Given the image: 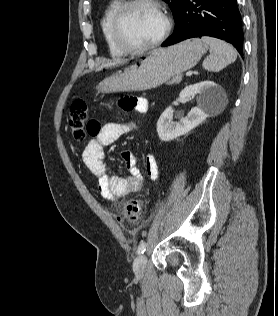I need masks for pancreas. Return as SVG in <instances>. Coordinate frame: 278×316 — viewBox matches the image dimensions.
<instances>
[{"label": "pancreas", "mask_w": 278, "mask_h": 316, "mask_svg": "<svg viewBox=\"0 0 278 316\" xmlns=\"http://www.w3.org/2000/svg\"><path fill=\"white\" fill-rule=\"evenodd\" d=\"M181 80H182V75L178 74L172 77L171 80L168 81V84H178L181 82Z\"/></svg>", "instance_id": "1"}]
</instances>
